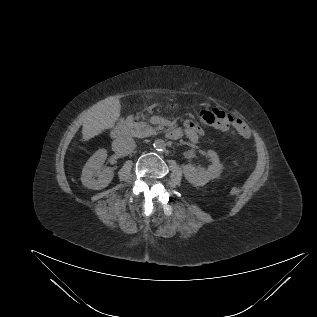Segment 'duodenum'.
Listing matches in <instances>:
<instances>
[{
	"label": "duodenum",
	"instance_id": "duodenum-1",
	"mask_svg": "<svg viewBox=\"0 0 317 317\" xmlns=\"http://www.w3.org/2000/svg\"><path fill=\"white\" fill-rule=\"evenodd\" d=\"M128 132V125L127 122L125 120H121L120 122H118L114 128L112 129V137L114 139H119L122 138L124 136L127 135ZM167 137L169 139L175 140L176 139V131L175 130H170L167 133Z\"/></svg>",
	"mask_w": 317,
	"mask_h": 317
}]
</instances>
